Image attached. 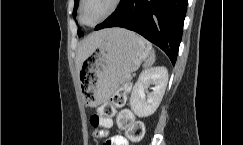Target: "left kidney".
Segmentation results:
<instances>
[{"mask_svg":"<svg viewBox=\"0 0 243 145\" xmlns=\"http://www.w3.org/2000/svg\"><path fill=\"white\" fill-rule=\"evenodd\" d=\"M168 83V70L165 67L147 69L139 75L131 96L130 107L138 117L154 114L160 105ZM150 85L152 92H148Z\"/></svg>","mask_w":243,"mask_h":145,"instance_id":"1","label":"left kidney"}]
</instances>
